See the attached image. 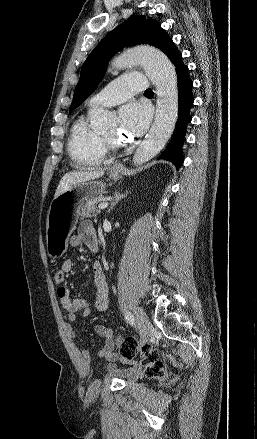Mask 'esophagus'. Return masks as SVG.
<instances>
[{"mask_svg": "<svg viewBox=\"0 0 257 439\" xmlns=\"http://www.w3.org/2000/svg\"><path fill=\"white\" fill-rule=\"evenodd\" d=\"M121 169H122V165L120 164L113 166V170H121Z\"/></svg>", "mask_w": 257, "mask_h": 439, "instance_id": "34e87169", "label": "esophagus"}]
</instances>
